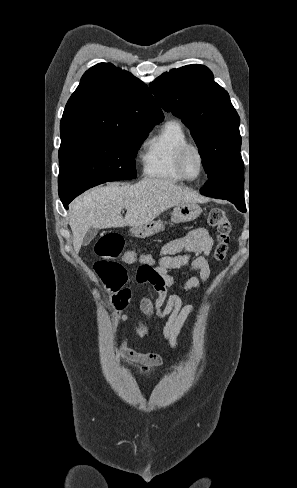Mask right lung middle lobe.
Listing matches in <instances>:
<instances>
[{
  "label": "right lung middle lobe",
  "mask_w": 297,
  "mask_h": 488,
  "mask_svg": "<svg viewBox=\"0 0 297 488\" xmlns=\"http://www.w3.org/2000/svg\"><path fill=\"white\" fill-rule=\"evenodd\" d=\"M154 124L121 133L91 134L61 141L59 197L71 202L85 190L107 181L136 178L134 157Z\"/></svg>",
  "instance_id": "dd1d6c3e"
}]
</instances>
